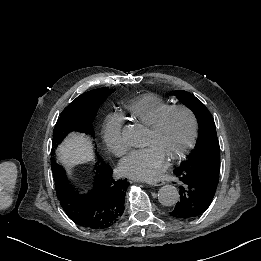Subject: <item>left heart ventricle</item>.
Returning <instances> with one entry per match:
<instances>
[{
  "label": "left heart ventricle",
  "mask_w": 261,
  "mask_h": 261,
  "mask_svg": "<svg viewBox=\"0 0 261 261\" xmlns=\"http://www.w3.org/2000/svg\"><path fill=\"white\" fill-rule=\"evenodd\" d=\"M146 125V124H145ZM191 132L189 116L181 111L171 112L157 130L146 125L144 140L141 145H156L165 158L180 151L186 144Z\"/></svg>",
  "instance_id": "left-heart-ventricle-1"
}]
</instances>
